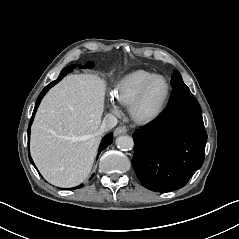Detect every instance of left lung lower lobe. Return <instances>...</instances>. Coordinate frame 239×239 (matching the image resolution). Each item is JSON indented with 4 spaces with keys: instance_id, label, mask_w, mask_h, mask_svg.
<instances>
[{
    "instance_id": "left-lung-lower-lobe-1",
    "label": "left lung lower lobe",
    "mask_w": 239,
    "mask_h": 239,
    "mask_svg": "<svg viewBox=\"0 0 239 239\" xmlns=\"http://www.w3.org/2000/svg\"><path fill=\"white\" fill-rule=\"evenodd\" d=\"M132 165L141 184L169 192L186 185L204 162L207 133L189 88H173L169 104L152 125L133 134Z\"/></svg>"
}]
</instances>
